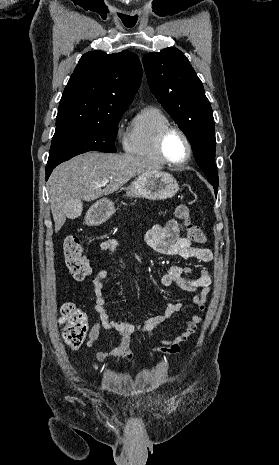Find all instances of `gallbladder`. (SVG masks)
Wrapping results in <instances>:
<instances>
[{
    "mask_svg": "<svg viewBox=\"0 0 279 465\" xmlns=\"http://www.w3.org/2000/svg\"><path fill=\"white\" fill-rule=\"evenodd\" d=\"M81 201L78 199H74L72 201H69L67 205L65 206L66 208V217L68 219H76L80 216L81 214Z\"/></svg>",
    "mask_w": 279,
    "mask_h": 465,
    "instance_id": "obj_1",
    "label": "gallbladder"
}]
</instances>
